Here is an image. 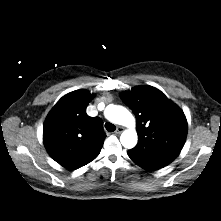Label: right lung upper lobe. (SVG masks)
<instances>
[{"mask_svg": "<svg viewBox=\"0 0 221 221\" xmlns=\"http://www.w3.org/2000/svg\"><path fill=\"white\" fill-rule=\"evenodd\" d=\"M93 94L76 90L63 96L48 114L43 142L49 155L65 168L75 170L101 151L106 134L99 117H90L86 108Z\"/></svg>", "mask_w": 221, "mask_h": 221, "instance_id": "obj_1", "label": "right lung upper lobe"}]
</instances>
